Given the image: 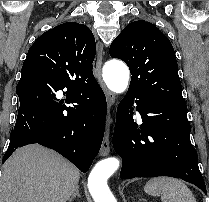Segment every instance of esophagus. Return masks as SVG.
I'll return each instance as SVG.
<instances>
[{"label":"esophagus","mask_w":209,"mask_h":202,"mask_svg":"<svg viewBox=\"0 0 209 202\" xmlns=\"http://www.w3.org/2000/svg\"><path fill=\"white\" fill-rule=\"evenodd\" d=\"M102 59H103V45L101 43H98L95 74L98 78L100 85L102 86L104 90V93L107 99V104H108L106 130H105L104 138H103L101 149H100V155L107 156L110 153V139L109 138H110V127L112 123L111 109L115 103V95L106 88L104 82L102 81V77H101Z\"/></svg>","instance_id":"esophagus-1"}]
</instances>
